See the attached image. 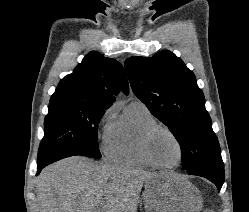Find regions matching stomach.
<instances>
[{
    "instance_id": "0dacf381",
    "label": "stomach",
    "mask_w": 249,
    "mask_h": 212,
    "mask_svg": "<svg viewBox=\"0 0 249 212\" xmlns=\"http://www.w3.org/2000/svg\"><path fill=\"white\" fill-rule=\"evenodd\" d=\"M146 212H201L202 194L173 170H158L146 179L143 194Z\"/></svg>"
}]
</instances>
